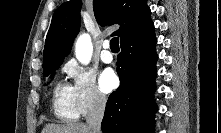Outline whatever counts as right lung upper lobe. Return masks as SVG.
<instances>
[{
	"label": "right lung upper lobe",
	"mask_w": 221,
	"mask_h": 133,
	"mask_svg": "<svg viewBox=\"0 0 221 133\" xmlns=\"http://www.w3.org/2000/svg\"><path fill=\"white\" fill-rule=\"evenodd\" d=\"M80 8V0H70L54 12L46 36L43 67L60 63L69 54L80 28ZM93 8L100 25L120 24L119 30L113 35L120 36L121 43L154 31L146 0H93Z\"/></svg>",
	"instance_id": "obj_1"
}]
</instances>
